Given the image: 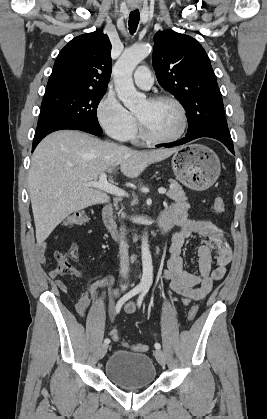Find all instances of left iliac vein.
I'll return each mask as SVG.
<instances>
[{"label": "left iliac vein", "mask_w": 267, "mask_h": 419, "mask_svg": "<svg viewBox=\"0 0 267 419\" xmlns=\"http://www.w3.org/2000/svg\"><path fill=\"white\" fill-rule=\"evenodd\" d=\"M154 355H155V358L160 365H165L166 358H165L164 353L161 350H159V349L155 350Z\"/></svg>", "instance_id": "4c4485c4"}]
</instances>
